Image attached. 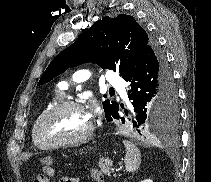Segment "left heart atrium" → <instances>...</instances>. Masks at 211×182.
I'll return each instance as SVG.
<instances>
[{
	"instance_id": "left-heart-atrium-1",
	"label": "left heart atrium",
	"mask_w": 211,
	"mask_h": 182,
	"mask_svg": "<svg viewBox=\"0 0 211 182\" xmlns=\"http://www.w3.org/2000/svg\"><path fill=\"white\" fill-rule=\"evenodd\" d=\"M92 112H97V107H93ZM89 116H91V114H88Z\"/></svg>"
}]
</instances>
